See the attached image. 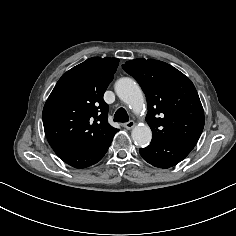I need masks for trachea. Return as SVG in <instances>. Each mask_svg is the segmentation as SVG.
<instances>
[{"mask_svg":"<svg viewBox=\"0 0 236 236\" xmlns=\"http://www.w3.org/2000/svg\"><path fill=\"white\" fill-rule=\"evenodd\" d=\"M128 120H129V117L126 110L122 107L119 108L114 115V121L123 123V122H128Z\"/></svg>","mask_w":236,"mask_h":236,"instance_id":"obj_1","label":"trachea"}]
</instances>
